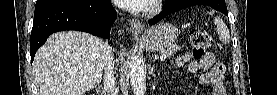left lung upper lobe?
<instances>
[{
    "instance_id": "5c2ea615",
    "label": "left lung upper lobe",
    "mask_w": 277,
    "mask_h": 95,
    "mask_svg": "<svg viewBox=\"0 0 277 95\" xmlns=\"http://www.w3.org/2000/svg\"><path fill=\"white\" fill-rule=\"evenodd\" d=\"M174 0H165V5H168V4H170V3H172ZM164 5V6H165Z\"/></svg>"
}]
</instances>
